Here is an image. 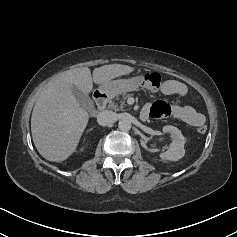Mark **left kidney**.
<instances>
[{
	"mask_svg": "<svg viewBox=\"0 0 237 237\" xmlns=\"http://www.w3.org/2000/svg\"><path fill=\"white\" fill-rule=\"evenodd\" d=\"M164 133H170L173 137V141L169 146V149L160 154L162 160L168 161H178L185 155V138L182 135L181 131L174 127V126H164L163 127Z\"/></svg>",
	"mask_w": 237,
	"mask_h": 237,
	"instance_id": "1",
	"label": "left kidney"
}]
</instances>
